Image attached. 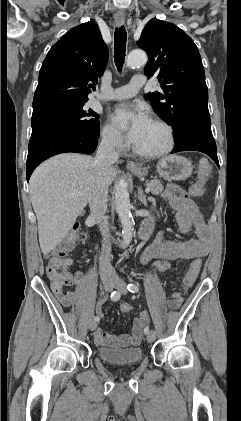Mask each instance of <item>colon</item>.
I'll list each match as a JSON object with an SVG mask.
<instances>
[{
	"label": "colon",
	"instance_id": "colon-1",
	"mask_svg": "<svg viewBox=\"0 0 241 421\" xmlns=\"http://www.w3.org/2000/svg\"><path fill=\"white\" fill-rule=\"evenodd\" d=\"M212 174V168L208 160L201 159L198 165V181L191 188L190 194L194 197L203 195L206 184ZM79 236V225L75 224L63 241V243L53 251L47 254L46 274L52 281V286L59 288L69 285L73 282L72 275L68 272L70 260L67 257V251L70 250ZM201 267V261L195 260L192 262L188 272L185 274L181 289L188 290L196 281ZM151 269L154 274H164L171 269V263L165 259H157L151 264ZM123 314H128L133 310L131 303H123L120 307Z\"/></svg>",
	"mask_w": 241,
	"mask_h": 421
}]
</instances>
